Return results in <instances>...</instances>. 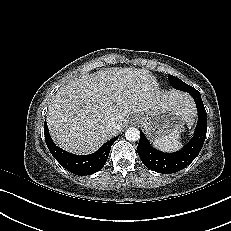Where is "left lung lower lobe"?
Masks as SVG:
<instances>
[{
  "instance_id": "1",
  "label": "left lung lower lobe",
  "mask_w": 231,
  "mask_h": 231,
  "mask_svg": "<svg viewBox=\"0 0 231 231\" xmlns=\"http://www.w3.org/2000/svg\"><path fill=\"white\" fill-rule=\"evenodd\" d=\"M198 110V123L193 138L181 150L174 153H164L153 148L142 131L138 144V155L143 164L158 173H176L189 165L199 154L207 132L206 110L200 92L194 90L190 93Z\"/></svg>"
}]
</instances>
